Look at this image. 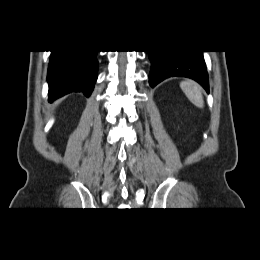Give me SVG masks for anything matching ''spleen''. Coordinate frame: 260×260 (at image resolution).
Here are the masks:
<instances>
[{
  "label": "spleen",
  "instance_id": "obj_1",
  "mask_svg": "<svg viewBox=\"0 0 260 260\" xmlns=\"http://www.w3.org/2000/svg\"><path fill=\"white\" fill-rule=\"evenodd\" d=\"M180 87L191 103H193L198 108H203V96L200 87L195 82L182 81L180 83Z\"/></svg>",
  "mask_w": 260,
  "mask_h": 260
}]
</instances>
